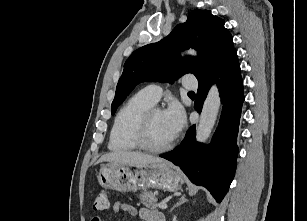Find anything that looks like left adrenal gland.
Returning a JSON list of instances; mask_svg holds the SVG:
<instances>
[{
    "mask_svg": "<svg viewBox=\"0 0 307 221\" xmlns=\"http://www.w3.org/2000/svg\"><path fill=\"white\" fill-rule=\"evenodd\" d=\"M187 201L188 200L186 199L185 195H182L179 201L176 204H174V206L171 208L170 212H172L176 207L180 206L181 204H184Z\"/></svg>",
    "mask_w": 307,
    "mask_h": 221,
    "instance_id": "1",
    "label": "left adrenal gland"
}]
</instances>
